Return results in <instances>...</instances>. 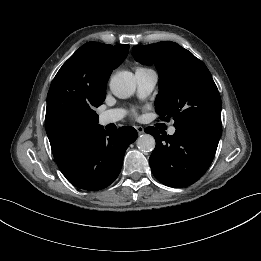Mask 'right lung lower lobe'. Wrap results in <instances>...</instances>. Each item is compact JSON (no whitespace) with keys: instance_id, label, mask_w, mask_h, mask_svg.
Wrapping results in <instances>:
<instances>
[{"instance_id":"1","label":"right lung lower lobe","mask_w":261,"mask_h":261,"mask_svg":"<svg viewBox=\"0 0 261 261\" xmlns=\"http://www.w3.org/2000/svg\"><path fill=\"white\" fill-rule=\"evenodd\" d=\"M136 138L137 131L130 126L121 127L116 132H108L101 127L59 169L74 186L101 190L117 178L125 151Z\"/></svg>"}]
</instances>
